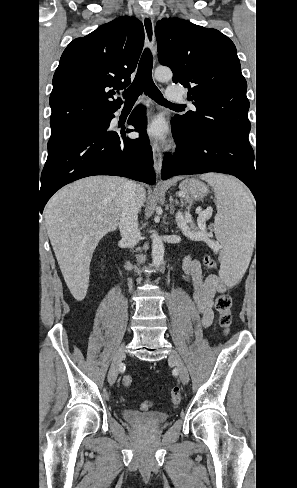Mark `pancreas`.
I'll use <instances>...</instances> for the list:
<instances>
[{"label": "pancreas", "instance_id": "cf45deb5", "mask_svg": "<svg viewBox=\"0 0 297 488\" xmlns=\"http://www.w3.org/2000/svg\"><path fill=\"white\" fill-rule=\"evenodd\" d=\"M190 226H191V227H194V225H193L192 223H190Z\"/></svg>", "mask_w": 297, "mask_h": 488}]
</instances>
